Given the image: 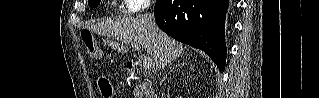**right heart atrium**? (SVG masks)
<instances>
[{"mask_svg":"<svg viewBox=\"0 0 319 98\" xmlns=\"http://www.w3.org/2000/svg\"><path fill=\"white\" fill-rule=\"evenodd\" d=\"M125 6L123 11L125 13L133 14L139 10H142L147 4L148 1L145 0H125Z\"/></svg>","mask_w":319,"mask_h":98,"instance_id":"1","label":"right heart atrium"}]
</instances>
